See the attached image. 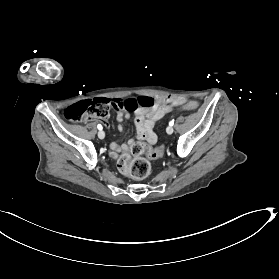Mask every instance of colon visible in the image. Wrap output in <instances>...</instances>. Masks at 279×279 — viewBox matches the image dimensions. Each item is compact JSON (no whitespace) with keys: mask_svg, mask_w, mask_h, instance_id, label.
<instances>
[{"mask_svg":"<svg viewBox=\"0 0 279 279\" xmlns=\"http://www.w3.org/2000/svg\"><path fill=\"white\" fill-rule=\"evenodd\" d=\"M155 103L156 100L150 96H139L125 100L96 98L81 101L67 107L64 111V116L72 122H78L90 117L106 119L111 108L133 112L138 109H151L155 106ZM181 107L186 110H196L199 104L196 101H189ZM144 154L149 159L160 158L164 154V147H149L141 142H133L130 152L122 154L119 159L118 164L121 172L135 180L145 179L150 174L151 166L148 159L143 157Z\"/></svg>","mask_w":279,"mask_h":279,"instance_id":"5ec220e1","label":"colon"}]
</instances>
